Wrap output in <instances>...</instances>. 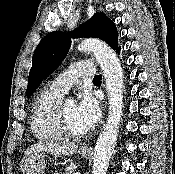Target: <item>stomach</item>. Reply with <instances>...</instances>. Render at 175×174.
I'll return each mask as SVG.
<instances>
[{
  "instance_id": "stomach-1",
  "label": "stomach",
  "mask_w": 175,
  "mask_h": 174,
  "mask_svg": "<svg viewBox=\"0 0 175 174\" xmlns=\"http://www.w3.org/2000/svg\"><path fill=\"white\" fill-rule=\"evenodd\" d=\"M82 157L89 156V151L80 150ZM46 167L45 155L43 153L36 154L25 158L22 162L21 169L24 174H42Z\"/></svg>"
}]
</instances>
